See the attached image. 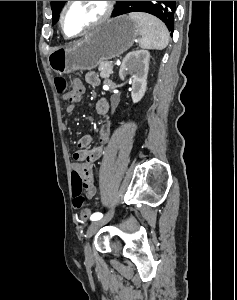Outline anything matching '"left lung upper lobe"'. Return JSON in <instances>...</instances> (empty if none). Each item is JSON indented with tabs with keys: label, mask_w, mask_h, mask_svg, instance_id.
Returning a JSON list of instances; mask_svg holds the SVG:
<instances>
[{
	"label": "left lung upper lobe",
	"mask_w": 237,
	"mask_h": 300,
	"mask_svg": "<svg viewBox=\"0 0 237 300\" xmlns=\"http://www.w3.org/2000/svg\"><path fill=\"white\" fill-rule=\"evenodd\" d=\"M66 1H51L54 25L58 21V14ZM176 10V1H117L115 16L129 12H147L160 18L167 26L171 35L174 30V14Z\"/></svg>",
	"instance_id": "5c2ea615"
}]
</instances>
